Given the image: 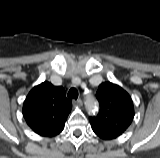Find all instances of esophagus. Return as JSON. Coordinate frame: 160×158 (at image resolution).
I'll return each instance as SVG.
<instances>
[{
    "label": "esophagus",
    "instance_id": "34e87169",
    "mask_svg": "<svg viewBox=\"0 0 160 158\" xmlns=\"http://www.w3.org/2000/svg\"><path fill=\"white\" fill-rule=\"evenodd\" d=\"M75 105L81 107L83 105V101L81 99H77L76 101L73 102Z\"/></svg>",
    "mask_w": 160,
    "mask_h": 158
}]
</instances>
